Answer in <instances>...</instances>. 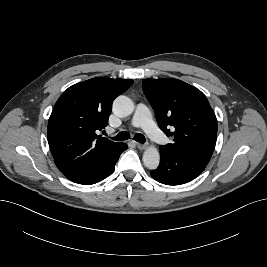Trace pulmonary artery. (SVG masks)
Listing matches in <instances>:
<instances>
[{"label": "pulmonary artery", "instance_id": "pulmonary-artery-1", "mask_svg": "<svg viewBox=\"0 0 267 267\" xmlns=\"http://www.w3.org/2000/svg\"><path fill=\"white\" fill-rule=\"evenodd\" d=\"M132 126L143 128L158 143H164L166 141L165 136L155 125L149 108L144 104H138L132 119Z\"/></svg>", "mask_w": 267, "mask_h": 267}]
</instances>
